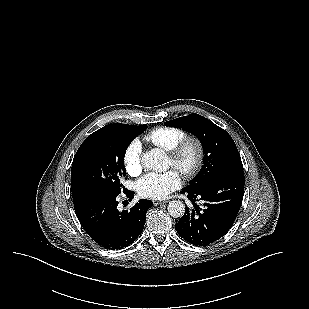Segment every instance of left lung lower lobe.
<instances>
[{"instance_id":"1","label":"left lung lower lobe","mask_w":309,"mask_h":309,"mask_svg":"<svg viewBox=\"0 0 309 309\" xmlns=\"http://www.w3.org/2000/svg\"><path fill=\"white\" fill-rule=\"evenodd\" d=\"M190 200H202L203 207L193 202L175 225L178 234L196 246H205L222 238L232 227L244 195V172L231 173L195 189L183 188Z\"/></svg>"}]
</instances>
